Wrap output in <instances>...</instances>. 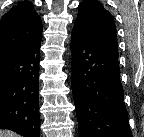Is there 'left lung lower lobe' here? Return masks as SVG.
<instances>
[{
  "label": "left lung lower lobe",
  "mask_w": 144,
  "mask_h": 137,
  "mask_svg": "<svg viewBox=\"0 0 144 137\" xmlns=\"http://www.w3.org/2000/svg\"><path fill=\"white\" fill-rule=\"evenodd\" d=\"M72 93L80 137H132L117 49L73 28Z\"/></svg>",
  "instance_id": "left-lung-lower-lobe-1"
}]
</instances>
